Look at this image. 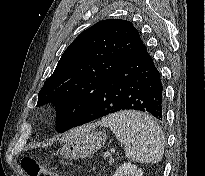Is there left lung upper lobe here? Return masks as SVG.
<instances>
[{"mask_svg": "<svg viewBox=\"0 0 205 176\" xmlns=\"http://www.w3.org/2000/svg\"><path fill=\"white\" fill-rule=\"evenodd\" d=\"M129 21L108 19L84 30L64 51L38 94L37 106H56L57 131L71 129L98 92L142 44Z\"/></svg>", "mask_w": 205, "mask_h": 176, "instance_id": "obj_1", "label": "left lung upper lobe"}]
</instances>
